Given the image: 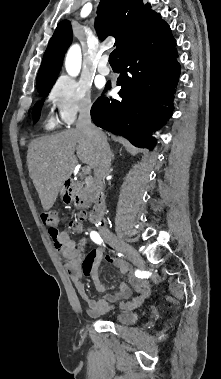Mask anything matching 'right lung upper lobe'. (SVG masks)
Instances as JSON below:
<instances>
[{"mask_svg":"<svg viewBox=\"0 0 221 379\" xmlns=\"http://www.w3.org/2000/svg\"><path fill=\"white\" fill-rule=\"evenodd\" d=\"M97 14L96 30L99 37H115L118 56L163 22L149 4H143V0H101ZM71 40L70 22L63 20L58 24L44 53L37 75V89L53 85L56 81Z\"/></svg>","mask_w":221,"mask_h":379,"instance_id":"right-lung-upper-lobe-1","label":"right lung upper lobe"}]
</instances>
